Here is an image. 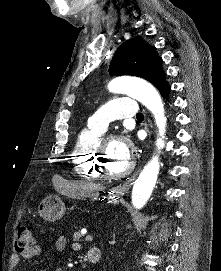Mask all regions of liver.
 Returning a JSON list of instances; mask_svg holds the SVG:
<instances>
[{"mask_svg": "<svg viewBox=\"0 0 221 271\" xmlns=\"http://www.w3.org/2000/svg\"><path fill=\"white\" fill-rule=\"evenodd\" d=\"M100 189H104L103 185H100V183L82 181V183H67L65 193L66 195H69V197L82 199V197H92V195H94V191H100Z\"/></svg>", "mask_w": 221, "mask_h": 271, "instance_id": "obj_1", "label": "liver"}]
</instances>
